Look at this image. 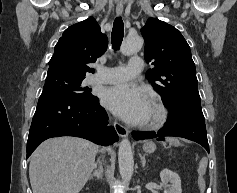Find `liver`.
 Here are the masks:
<instances>
[{
  "instance_id": "6515ba94",
  "label": "liver",
  "mask_w": 237,
  "mask_h": 193,
  "mask_svg": "<svg viewBox=\"0 0 237 193\" xmlns=\"http://www.w3.org/2000/svg\"><path fill=\"white\" fill-rule=\"evenodd\" d=\"M98 147L76 137L44 141L30 158L33 193H79L94 169Z\"/></svg>"
}]
</instances>
